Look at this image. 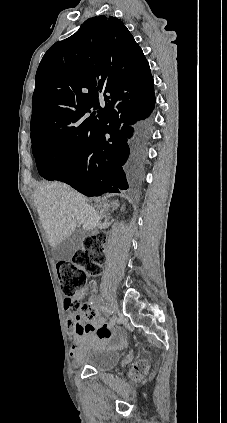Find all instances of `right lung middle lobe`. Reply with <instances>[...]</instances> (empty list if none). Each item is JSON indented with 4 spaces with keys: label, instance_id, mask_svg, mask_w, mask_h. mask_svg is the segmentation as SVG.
<instances>
[{
    "label": "right lung middle lobe",
    "instance_id": "1",
    "mask_svg": "<svg viewBox=\"0 0 227 423\" xmlns=\"http://www.w3.org/2000/svg\"><path fill=\"white\" fill-rule=\"evenodd\" d=\"M94 144V137L74 139L58 135L33 142L32 151L39 174L50 181L69 176Z\"/></svg>",
    "mask_w": 227,
    "mask_h": 423
}]
</instances>
